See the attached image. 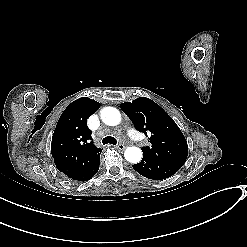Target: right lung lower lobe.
<instances>
[{
  "instance_id": "98d812e1",
  "label": "right lung lower lobe",
  "mask_w": 247,
  "mask_h": 247,
  "mask_svg": "<svg viewBox=\"0 0 247 247\" xmlns=\"http://www.w3.org/2000/svg\"><path fill=\"white\" fill-rule=\"evenodd\" d=\"M99 158L100 155H98L88 167H86L83 171H81L79 174L70 177L77 181H88L90 180L99 170Z\"/></svg>"
}]
</instances>
